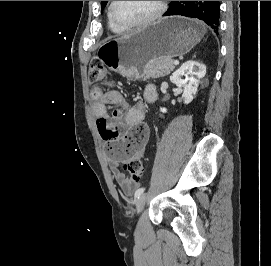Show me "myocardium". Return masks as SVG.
<instances>
[{"mask_svg":"<svg viewBox=\"0 0 271 266\" xmlns=\"http://www.w3.org/2000/svg\"><path fill=\"white\" fill-rule=\"evenodd\" d=\"M116 2L117 1H111L110 5H109V15H110L111 20L117 26H119L125 30L143 27V26H146V25H149V24L156 22L158 19H160L162 17V15L164 14L165 9H166L165 1H157V8L152 15H150L149 17H147L144 20H141L139 22L127 23V22L121 21L119 18H117L116 14H115Z\"/></svg>","mask_w":271,"mask_h":266,"instance_id":"f54148a6","label":"myocardium"}]
</instances>
